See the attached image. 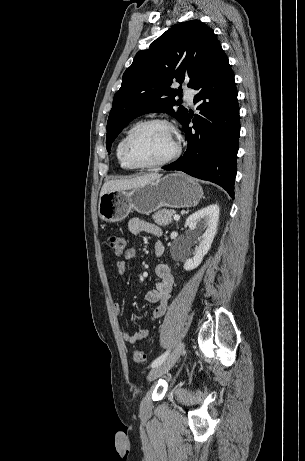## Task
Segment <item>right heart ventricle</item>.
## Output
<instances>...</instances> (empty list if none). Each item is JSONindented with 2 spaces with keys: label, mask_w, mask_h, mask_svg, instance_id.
Wrapping results in <instances>:
<instances>
[{
  "label": "right heart ventricle",
  "mask_w": 305,
  "mask_h": 461,
  "mask_svg": "<svg viewBox=\"0 0 305 461\" xmlns=\"http://www.w3.org/2000/svg\"><path fill=\"white\" fill-rule=\"evenodd\" d=\"M133 127H131L130 129H128L122 136L121 138L118 140L117 142V145H116V149H115V154H116V158H117V161H118V164L120 165L121 168L125 169V170H134L135 168L130 166L127 161L125 160L124 158V155H123V144H124V141H125V138L127 137L128 133L131 131Z\"/></svg>",
  "instance_id": "obj_1"
}]
</instances>
